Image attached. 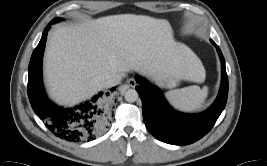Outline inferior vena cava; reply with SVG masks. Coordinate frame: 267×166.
<instances>
[{"mask_svg":"<svg viewBox=\"0 0 267 166\" xmlns=\"http://www.w3.org/2000/svg\"><path fill=\"white\" fill-rule=\"evenodd\" d=\"M120 80V75L116 73H107L101 78V82L104 87L115 86L120 82Z\"/></svg>","mask_w":267,"mask_h":166,"instance_id":"1","label":"inferior vena cava"}]
</instances>
